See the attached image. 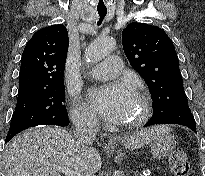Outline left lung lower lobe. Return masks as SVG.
I'll list each match as a JSON object with an SVG mask.
<instances>
[{"label": "left lung lower lobe", "mask_w": 205, "mask_h": 176, "mask_svg": "<svg viewBox=\"0 0 205 176\" xmlns=\"http://www.w3.org/2000/svg\"><path fill=\"white\" fill-rule=\"evenodd\" d=\"M156 124H179L187 126L196 133V123L189 109L187 98L179 100L165 111L154 113L145 127Z\"/></svg>", "instance_id": "0a47b994"}]
</instances>
